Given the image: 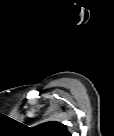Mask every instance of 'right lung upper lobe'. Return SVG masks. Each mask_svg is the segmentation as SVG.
Listing matches in <instances>:
<instances>
[{
  "label": "right lung upper lobe",
  "instance_id": "right-lung-upper-lobe-1",
  "mask_svg": "<svg viewBox=\"0 0 114 136\" xmlns=\"http://www.w3.org/2000/svg\"><path fill=\"white\" fill-rule=\"evenodd\" d=\"M33 132L38 136H70L67 127L56 121L39 124L34 127Z\"/></svg>",
  "mask_w": 114,
  "mask_h": 136
}]
</instances>
